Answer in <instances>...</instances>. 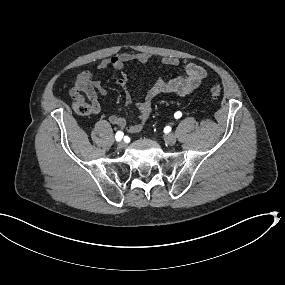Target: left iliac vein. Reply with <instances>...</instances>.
<instances>
[{
	"instance_id": "obj_1",
	"label": "left iliac vein",
	"mask_w": 285,
	"mask_h": 285,
	"mask_svg": "<svg viewBox=\"0 0 285 285\" xmlns=\"http://www.w3.org/2000/svg\"><path fill=\"white\" fill-rule=\"evenodd\" d=\"M164 141L168 145L173 146L176 143V136L172 133H169V134L165 135Z\"/></svg>"
}]
</instances>
